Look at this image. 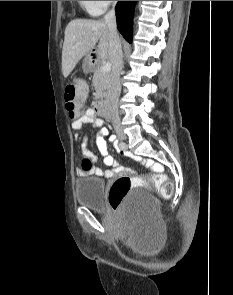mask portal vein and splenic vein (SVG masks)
<instances>
[{
    "mask_svg": "<svg viewBox=\"0 0 233 295\" xmlns=\"http://www.w3.org/2000/svg\"><path fill=\"white\" fill-rule=\"evenodd\" d=\"M110 69H111V64L109 62H107V63L103 64V66L101 68V71L102 72H108V71H110Z\"/></svg>",
    "mask_w": 233,
    "mask_h": 295,
    "instance_id": "1",
    "label": "portal vein and splenic vein"
}]
</instances>
